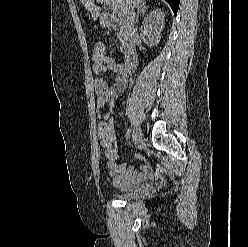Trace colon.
Segmentation results:
<instances>
[{"label": "colon", "mask_w": 248, "mask_h": 247, "mask_svg": "<svg viewBox=\"0 0 248 247\" xmlns=\"http://www.w3.org/2000/svg\"><path fill=\"white\" fill-rule=\"evenodd\" d=\"M94 55L97 57V58H102L103 56H105V46L103 43L101 42H97L95 44V47H94Z\"/></svg>", "instance_id": "obj_1"}]
</instances>
